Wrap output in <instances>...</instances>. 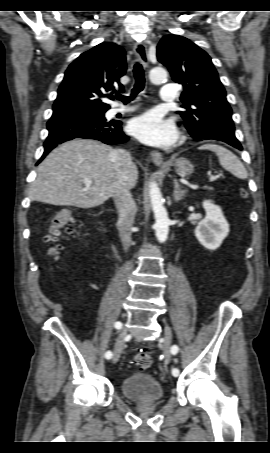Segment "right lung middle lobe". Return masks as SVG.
Instances as JSON below:
<instances>
[{
    "label": "right lung middle lobe",
    "instance_id": "dd1d6c3e",
    "mask_svg": "<svg viewBox=\"0 0 270 453\" xmlns=\"http://www.w3.org/2000/svg\"><path fill=\"white\" fill-rule=\"evenodd\" d=\"M105 112H106V110H89V111L80 112L77 115L88 116L90 118L96 119L97 121H106V119L104 117Z\"/></svg>",
    "mask_w": 270,
    "mask_h": 453
}]
</instances>
